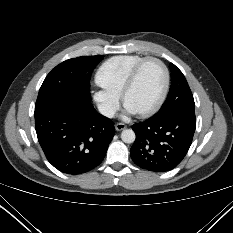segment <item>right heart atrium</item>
Here are the masks:
<instances>
[{
    "instance_id": "d8ad5b80",
    "label": "right heart atrium",
    "mask_w": 233,
    "mask_h": 233,
    "mask_svg": "<svg viewBox=\"0 0 233 233\" xmlns=\"http://www.w3.org/2000/svg\"><path fill=\"white\" fill-rule=\"evenodd\" d=\"M93 99L106 117H113L119 108L120 96L100 85L93 91Z\"/></svg>"
}]
</instances>
